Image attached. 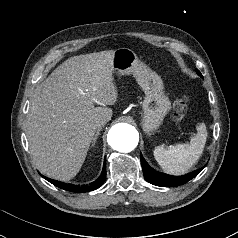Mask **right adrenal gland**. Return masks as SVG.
<instances>
[{
    "label": "right adrenal gland",
    "instance_id": "right-adrenal-gland-1",
    "mask_svg": "<svg viewBox=\"0 0 238 238\" xmlns=\"http://www.w3.org/2000/svg\"><path fill=\"white\" fill-rule=\"evenodd\" d=\"M101 130H102V127H101V128H98V130L96 131V134H95V136H94V138H93V141H92V145H91V146H95L96 140H97V138L99 137Z\"/></svg>",
    "mask_w": 238,
    "mask_h": 238
}]
</instances>
